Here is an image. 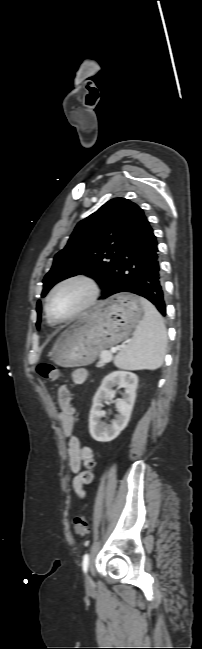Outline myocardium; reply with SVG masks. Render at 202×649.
I'll return each instance as SVG.
<instances>
[{"label":"myocardium","mask_w":202,"mask_h":649,"mask_svg":"<svg viewBox=\"0 0 202 649\" xmlns=\"http://www.w3.org/2000/svg\"><path fill=\"white\" fill-rule=\"evenodd\" d=\"M72 282H81L84 283L88 289H89V297L81 305L73 314H71L68 317L65 318H57L55 317L49 308V302L53 295L59 290L61 287H63L66 284L72 283ZM100 295V286L96 279L88 274L85 273H75L68 275L61 280H59L57 283H55L50 291L48 292L46 298H45V303H44V310L45 314L48 318V320L52 323H65V322H70L75 320L76 318L80 317L82 314H84L87 310H89L98 300Z\"/></svg>","instance_id":"obj_1"}]
</instances>
